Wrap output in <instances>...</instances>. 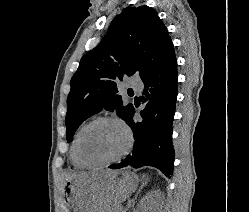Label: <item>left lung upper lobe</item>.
<instances>
[{"instance_id": "1", "label": "left lung upper lobe", "mask_w": 249, "mask_h": 212, "mask_svg": "<svg viewBox=\"0 0 249 212\" xmlns=\"http://www.w3.org/2000/svg\"><path fill=\"white\" fill-rule=\"evenodd\" d=\"M171 42L156 11L144 5L127 7L112 21L101 42L80 61L67 98L66 139L83 121L105 110L124 119L132 104L123 106L117 82L135 73L140 77Z\"/></svg>"}]
</instances>
